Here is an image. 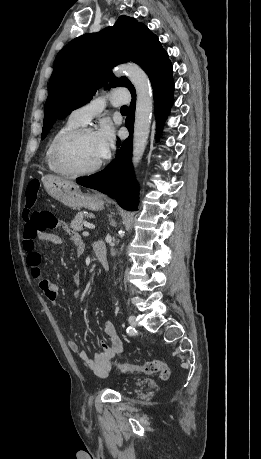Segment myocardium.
<instances>
[{
    "mask_svg": "<svg viewBox=\"0 0 261 459\" xmlns=\"http://www.w3.org/2000/svg\"><path fill=\"white\" fill-rule=\"evenodd\" d=\"M86 134H94L93 129L89 127L80 126V127H77L75 129H72L64 133L56 141L54 149H53V162L56 168L61 172V174L67 175V176L80 177V176L92 175L101 169L103 165V160H101L95 166L91 168L82 169V170L73 169L69 167L64 160V154H65V150L67 146L74 140Z\"/></svg>",
    "mask_w": 261,
    "mask_h": 459,
    "instance_id": "1",
    "label": "myocardium"
}]
</instances>
